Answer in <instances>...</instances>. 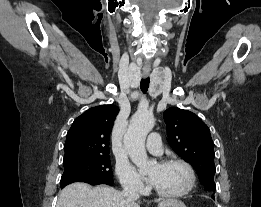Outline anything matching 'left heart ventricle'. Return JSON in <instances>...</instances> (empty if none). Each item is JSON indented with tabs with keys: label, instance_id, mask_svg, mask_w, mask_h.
I'll return each instance as SVG.
<instances>
[{
	"label": "left heart ventricle",
	"instance_id": "1",
	"mask_svg": "<svg viewBox=\"0 0 261 207\" xmlns=\"http://www.w3.org/2000/svg\"><path fill=\"white\" fill-rule=\"evenodd\" d=\"M148 175L153 178V185L165 192H178L185 188L188 182L186 170L177 164H155Z\"/></svg>",
	"mask_w": 261,
	"mask_h": 207
}]
</instances>
